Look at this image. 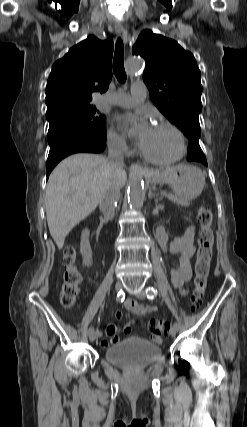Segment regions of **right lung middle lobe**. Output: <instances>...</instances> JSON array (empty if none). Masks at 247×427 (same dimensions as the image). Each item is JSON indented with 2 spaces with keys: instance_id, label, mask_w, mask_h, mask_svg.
<instances>
[{
  "instance_id": "right-lung-middle-lobe-1",
  "label": "right lung middle lobe",
  "mask_w": 247,
  "mask_h": 427,
  "mask_svg": "<svg viewBox=\"0 0 247 427\" xmlns=\"http://www.w3.org/2000/svg\"><path fill=\"white\" fill-rule=\"evenodd\" d=\"M49 123L64 122L88 131L94 136L106 139V119L92 105L66 106L46 114Z\"/></svg>"
}]
</instances>
